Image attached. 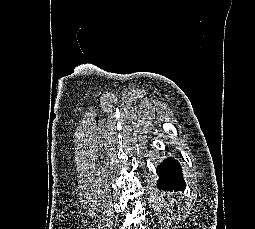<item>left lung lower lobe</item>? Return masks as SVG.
<instances>
[{"mask_svg":"<svg viewBox=\"0 0 255 229\" xmlns=\"http://www.w3.org/2000/svg\"><path fill=\"white\" fill-rule=\"evenodd\" d=\"M159 176L158 187L162 190H184L185 181L180 170V164L173 158H168L157 167Z\"/></svg>","mask_w":255,"mask_h":229,"instance_id":"1","label":"left lung lower lobe"}]
</instances>
